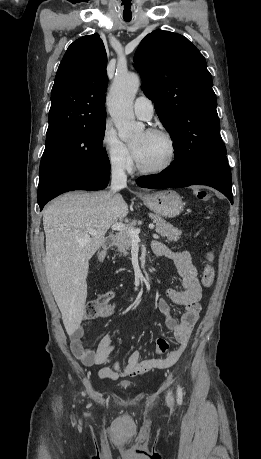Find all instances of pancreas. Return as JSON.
<instances>
[{
  "mask_svg": "<svg viewBox=\"0 0 261 459\" xmlns=\"http://www.w3.org/2000/svg\"><path fill=\"white\" fill-rule=\"evenodd\" d=\"M149 216L153 219L154 223L156 224V232L160 236L167 237V239L170 241H177L179 239L182 233L181 230L173 227L170 223L166 222L161 216L152 213L149 214ZM126 226L135 229L136 221L133 220ZM131 245L132 239L126 230L120 231L116 234L115 246L121 254L126 256L128 254L127 251L130 249Z\"/></svg>",
  "mask_w": 261,
  "mask_h": 459,
  "instance_id": "cf45deb5",
  "label": "pancreas"
}]
</instances>
